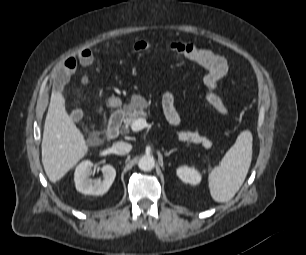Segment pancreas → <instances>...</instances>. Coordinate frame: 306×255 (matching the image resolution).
I'll return each instance as SVG.
<instances>
[{"label":"pancreas","mask_w":306,"mask_h":255,"mask_svg":"<svg viewBox=\"0 0 306 255\" xmlns=\"http://www.w3.org/2000/svg\"><path fill=\"white\" fill-rule=\"evenodd\" d=\"M147 107V103L145 100H142L140 103L133 102L130 105H127L124 107L123 112L125 115L124 118V127L123 132L127 133L129 131V127L131 126L132 122L140 117H147V113L144 111V108ZM178 140L180 141H189L192 143H202L206 148L211 147L212 143L209 142H203L202 138L200 137L199 133L196 132H190V131H180L177 133ZM206 139V138H205Z\"/></svg>","instance_id":"1"}]
</instances>
